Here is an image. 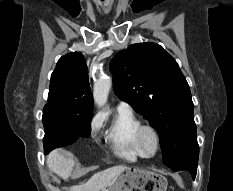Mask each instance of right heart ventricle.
I'll use <instances>...</instances> for the list:
<instances>
[{
	"instance_id": "right-heart-ventricle-1",
	"label": "right heart ventricle",
	"mask_w": 233,
	"mask_h": 191,
	"mask_svg": "<svg viewBox=\"0 0 233 191\" xmlns=\"http://www.w3.org/2000/svg\"><path fill=\"white\" fill-rule=\"evenodd\" d=\"M140 124L131 111H117L106 132V139L117 157L130 162L146 158L136 141Z\"/></svg>"
}]
</instances>
